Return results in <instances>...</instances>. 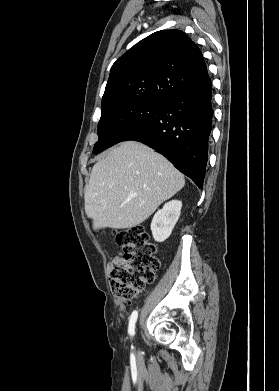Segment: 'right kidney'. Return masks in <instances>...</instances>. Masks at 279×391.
Returning a JSON list of instances; mask_svg holds the SVG:
<instances>
[{
  "label": "right kidney",
  "mask_w": 279,
  "mask_h": 391,
  "mask_svg": "<svg viewBox=\"0 0 279 391\" xmlns=\"http://www.w3.org/2000/svg\"><path fill=\"white\" fill-rule=\"evenodd\" d=\"M182 208V202L172 200L158 210L151 222V231L153 238L157 242L165 241L172 233V230L177 223Z\"/></svg>",
  "instance_id": "right-kidney-1"
}]
</instances>
